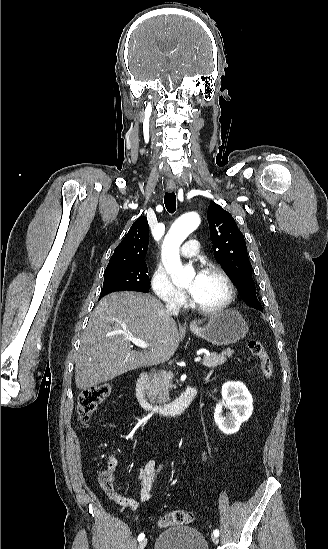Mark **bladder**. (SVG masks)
I'll return each mask as SVG.
<instances>
[{"label": "bladder", "instance_id": "obj_1", "mask_svg": "<svg viewBox=\"0 0 328 549\" xmlns=\"http://www.w3.org/2000/svg\"><path fill=\"white\" fill-rule=\"evenodd\" d=\"M155 549H208L206 540L197 528L175 526L162 531L155 541Z\"/></svg>", "mask_w": 328, "mask_h": 549}]
</instances>
